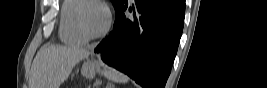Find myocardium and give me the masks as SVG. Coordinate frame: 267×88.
<instances>
[{"instance_id":"f54148a6","label":"myocardium","mask_w":267,"mask_h":88,"mask_svg":"<svg viewBox=\"0 0 267 88\" xmlns=\"http://www.w3.org/2000/svg\"><path fill=\"white\" fill-rule=\"evenodd\" d=\"M87 4H95L99 7H101L106 13V23H105L103 29L101 31H99L98 33H90L84 26L83 19H82V11ZM76 20H77V25H78L80 33L87 40L98 39V38L105 36L107 34V32L109 31V29L111 27V23H112V14L110 12V9L102 2L96 1V0H89V1H85L84 3H82L77 8Z\"/></svg>"}]
</instances>
